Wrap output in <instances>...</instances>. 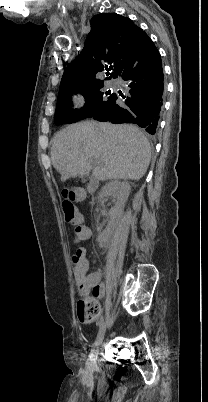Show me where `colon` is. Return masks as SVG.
<instances>
[{"mask_svg":"<svg viewBox=\"0 0 208 402\" xmlns=\"http://www.w3.org/2000/svg\"><path fill=\"white\" fill-rule=\"evenodd\" d=\"M70 194L71 193L68 191H63L62 193L63 197L66 198L69 197ZM64 216L66 221L76 228L71 232L72 241L76 242L82 238H88L89 231L88 229H81V216L73 204L64 205ZM86 252V249L82 247L77 250V253H72L70 256L72 262L75 264L83 263V255H85ZM94 292L95 289L91 281L81 283L77 298V305L81 306V311H78L79 317L82 313V318L88 319L100 313L99 299H92Z\"/></svg>","mask_w":208,"mask_h":402,"instance_id":"obj_1","label":"colon"}]
</instances>
